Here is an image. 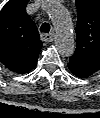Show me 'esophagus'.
Returning a JSON list of instances; mask_svg holds the SVG:
<instances>
[{"label": "esophagus", "mask_w": 100, "mask_h": 118, "mask_svg": "<svg viewBox=\"0 0 100 118\" xmlns=\"http://www.w3.org/2000/svg\"><path fill=\"white\" fill-rule=\"evenodd\" d=\"M54 38H55V33L54 32H52L50 34H43L41 36V39L43 41H46V42H52L54 40Z\"/></svg>", "instance_id": "34e87169"}]
</instances>
